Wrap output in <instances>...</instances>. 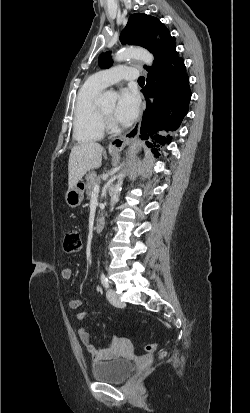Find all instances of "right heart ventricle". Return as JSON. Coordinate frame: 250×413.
<instances>
[{"label": "right heart ventricle", "instance_id": "e07e8e85", "mask_svg": "<svg viewBox=\"0 0 250 413\" xmlns=\"http://www.w3.org/2000/svg\"><path fill=\"white\" fill-rule=\"evenodd\" d=\"M102 89L89 79L78 92L73 137L79 143L98 141L104 136L106 121L95 102Z\"/></svg>", "mask_w": 250, "mask_h": 413}]
</instances>
